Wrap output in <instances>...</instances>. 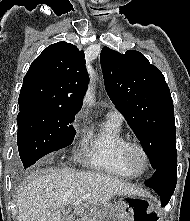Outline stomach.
Instances as JSON below:
<instances>
[{
    "label": "stomach",
    "mask_w": 190,
    "mask_h": 221,
    "mask_svg": "<svg viewBox=\"0 0 190 221\" xmlns=\"http://www.w3.org/2000/svg\"><path fill=\"white\" fill-rule=\"evenodd\" d=\"M158 208H153L149 200H118V204H105L96 209L91 221H158Z\"/></svg>",
    "instance_id": "stomach-1"
}]
</instances>
